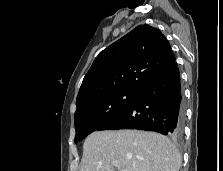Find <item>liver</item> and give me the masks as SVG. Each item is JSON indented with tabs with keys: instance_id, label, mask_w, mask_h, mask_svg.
<instances>
[{
	"instance_id": "obj_1",
	"label": "liver",
	"mask_w": 223,
	"mask_h": 171,
	"mask_svg": "<svg viewBox=\"0 0 223 171\" xmlns=\"http://www.w3.org/2000/svg\"><path fill=\"white\" fill-rule=\"evenodd\" d=\"M181 164L178 149L166 136L140 130H105L85 139L80 171H179Z\"/></svg>"
}]
</instances>
